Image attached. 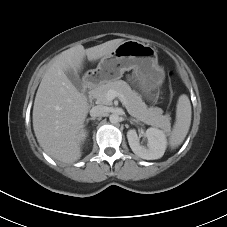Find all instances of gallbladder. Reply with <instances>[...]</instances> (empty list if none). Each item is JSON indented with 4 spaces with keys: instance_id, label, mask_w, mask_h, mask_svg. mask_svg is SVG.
Instances as JSON below:
<instances>
[{
    "instance_id": "1",
    "label": "gallbladder",
    "mask_w": 227,
    "mask_h": 227,
    "mask_svg": "<svg viewBox=\"0 0 227 227\" xmlns=\"http://www.w3.org/2000/svg\"><path fill=\"white\" fill-rule=\"evenodd\" d=\"M66 75L71 83L77 88V90L82 91L83 86L79 75L71 69L66 72Z\"/></svg>"
}]
</instances>
